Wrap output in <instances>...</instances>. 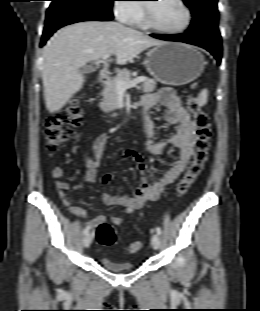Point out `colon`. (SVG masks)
<instances>
[{"mask_svg":"<svg viewBox=\"0 0 260 311\" xmlns=\"http://www.w3.org/2000/svg\"><path fill=\"white\" fill-rule=\"evenodd\" d=\"M187 109L193 116L196 127L195 150L192 162L176 186V195H185L194 181L202 172L208 160L211 124L209 115L204 112L198 99L190 95L187 98ZM83 110L77 102H72L58 116L47 120L45 125L46 147L50 153L58 152L60 145L71 140L77 134L76 129L82 123ZM95 236L101 245L110 246L116 242V232L113 226L107 222L99 223L95 228ZM142 247L141 242H132L128 246L129 253H137Z\"/></svg>","mask_w":260,"mask_h":311,"instance_id":"1","label":"colon"}]
</instances>
